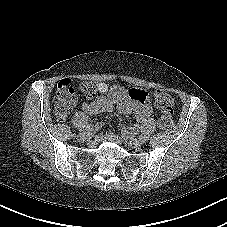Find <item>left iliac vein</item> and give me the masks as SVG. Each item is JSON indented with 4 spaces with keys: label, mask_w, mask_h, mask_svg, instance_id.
<instances>
[{
    "label": "left iliac vein",
    "mask_w": 227,
    "mask_h": 227,
    "mask_svg": "<svg viewBox=\"0 0 227 227\" xmlns=\"http://www.w3.org/2000/svg\"><path fill=\"white\" fill-rule=\"evenodd\" d=\"M144 142L139 138V139H131L129 141V145L134 148H141L143 146Z\"/></svg>",
    "instance_id": "left-iliac-vein-1"
}]
</instances>
